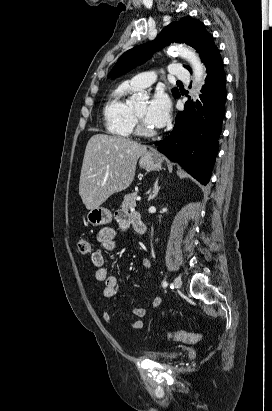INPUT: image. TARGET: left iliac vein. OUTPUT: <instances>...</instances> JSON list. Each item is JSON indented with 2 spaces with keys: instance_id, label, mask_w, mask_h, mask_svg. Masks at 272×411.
I'll return each instance as SVG.
<instances>
[{
  "instance_id": "1",
  "label": "left iliac vein",
  "mask_w": 272,
  "mask_h": 411,
  "mask_svg": "<svg viewBox=\"0 0 272 411\" xmlns=\"http://www.w3.org/2000/svg\"><path fill=\"white\" fill-rule=\"evenodd\" d=\"M174 286H175L176 288H181V286H182V280H181V278L176 277V278L174 279Z\"/></svg>"
}]
</instances>
